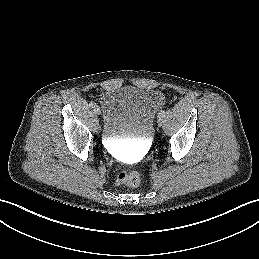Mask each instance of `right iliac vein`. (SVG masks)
<instances>
[{"label":"right iliac vein","instance_id":"obj_1","mask_svg":"<svg viewBox=\"0 0 259 259\" xmlns=\"http://www.w3.org/2000/svg\"><path fill=\"white\" fill-rule=\"evenodd\" d=\"M94 112H95L97 115L100 114V110H99V108H98L97 106L94 107ZM96 129H98V127H97Z\"/></svg>","mask_w":259,"mask_h":259}]
</instances>
